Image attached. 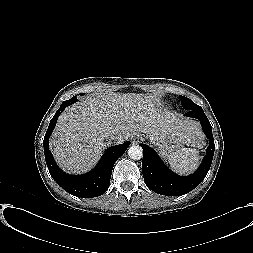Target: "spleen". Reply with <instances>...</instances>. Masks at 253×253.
<instances>
[{"label": "spleen", "mask_w": 253, "mask_h": 253, "mask_svg": "<svg viewBox=\"0 0 253 253\" xmlns=\"http://www.w3.org/2000/svg\"><path fill=\"white\" fill-rule=\"evenodd\" d=\"M170 167L179 174H189L199 165V151L197 149L181 148L168 156Z\"/></svg>", "instance_id": "1"}]
</instances>
